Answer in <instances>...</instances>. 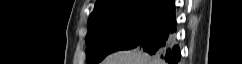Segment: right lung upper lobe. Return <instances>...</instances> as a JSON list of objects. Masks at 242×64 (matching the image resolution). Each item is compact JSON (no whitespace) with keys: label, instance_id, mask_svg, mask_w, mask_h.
<instances>
[{"label":"right lung upper lobe","instance_id":"1","mask_svg":"<svg viewBox=\"0 0 242 64\" xmlns=\"http://www.w3.org/2000/svg\"><path fill=\"white\" fill-rule=\"evenodd\" d=\"M173 8H175L174 0H96L88 23L118 12L150 10L166 14Z\"/></svg>","mask_w":242,"mask_h":64}]
</instances>
